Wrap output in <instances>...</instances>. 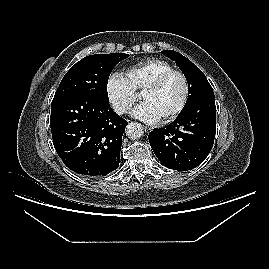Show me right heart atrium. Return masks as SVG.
<instances>
[{"instance_id": "obj_1", "label": "right heart atrium", "mask_w": 269, "mask_h": 269, "mask_svg": "<svg viewBox=\"0 0 269 269\" xmlns=\"http://www.w3.org/2000/svg\"><path fill=\"white\" fill-rule=\"evenodd\" d=\"M105 91L111 108L119 115L127 113L137 99L127 78L119 72H113L109 75Z\"/></svg>"}]
</instances>
